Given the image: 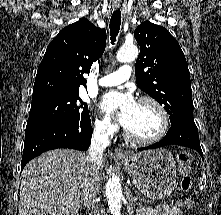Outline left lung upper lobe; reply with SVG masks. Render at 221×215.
Here are the masks:
<instances>
[{
	"label": "left lung upper lobe",
	"instance_id": "left-lung-upper-lobe-1",
	"mask_svg": "<svg viewBox=\"0 0 221 215\" xmlns=\"http://www.w3.org/2000/svg\"><path fill=\"white\" fill-rule=\"evenodd\" d=\"M140 45L135 74L138 87L164 106L171 125L195 124L190 73L177 40L149 21L134 31Z\"/></svg>",
	"mask_w": 221,
	"mask_h": 215
}]
</instances>
